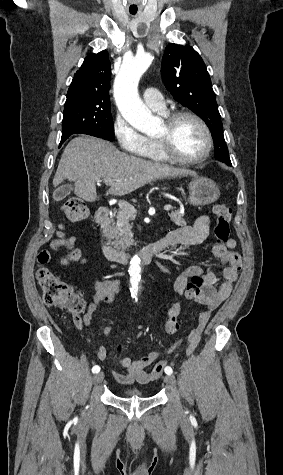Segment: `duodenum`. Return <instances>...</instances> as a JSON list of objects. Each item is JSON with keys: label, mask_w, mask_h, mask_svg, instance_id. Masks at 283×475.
<instances>
[{"label": "duodenum", "mask_w": 283, "mask_h": 475, "mask_svg": "<svg viewBox=\"0 0 283 475\" xmlns=\"http://www.w3.org/2000/svg\"><path fill=\"white\" fill-rule=\"evenodd\" d=\"M111 212L106 207L99 208L95 213V223L99 234V243L104 256L112 262L127 263L131 255L113 247L107 240V230L110 225ZM169 246L167 237L155 241L143 248L138 256L143 263H149L160 251Z\"/></svg>", "instance_id": "410a0bca"}]
</instances>
